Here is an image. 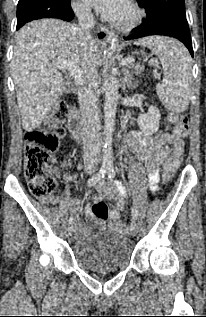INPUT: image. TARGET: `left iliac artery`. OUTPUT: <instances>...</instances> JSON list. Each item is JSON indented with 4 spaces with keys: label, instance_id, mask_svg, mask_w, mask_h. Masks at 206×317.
Instances as JSON below:
<instances>
[{
    "label": "left iliac artery",
    "instance_id": "1",
    "mask_svg": "<svg viewBox=\"0 0 206 317\" xmlns=\"http://www.w3.org/2000/svg\"><path fill=\"white\" fill-rule=\"evenodd\" d=\"M107 175H108L109 178H113L115 176V171H114L113 166H109L107 168ZM131 214H132V217L134 219H137L138 212H137V210L135 208H132Z\"/></svg>",
    "mask_w": 206,
    "mask_h": 317
}]
</instances>
